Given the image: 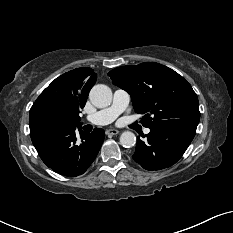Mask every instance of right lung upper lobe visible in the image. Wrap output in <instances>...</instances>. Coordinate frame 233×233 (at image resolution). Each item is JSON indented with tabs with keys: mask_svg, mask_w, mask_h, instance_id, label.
Wrapping results in <instances>:
<instances>
[{
	"mask_svg": "<svg viewBox=\"0 0 233 233\" xmlns=\"http://www.w3.org/2000/svg\"><path fill=\"white\" fill-rule=\"evenodd\" d=\"M96 79L97 75L91 68H77L56 78L32 105L29 113L30 126L37 113L47 106L58 108L76 125L79 124L80 109L85 106Z\"/></svg>",
	"mask_w": 233,
	"mask_h": 233,
	"instance_id": "right-lung-upper-lobe-1",
	"label": "right lung upper lobe"
}]
</instances>
